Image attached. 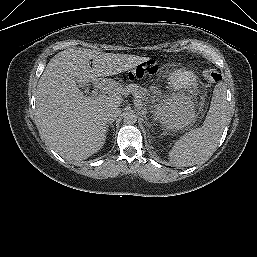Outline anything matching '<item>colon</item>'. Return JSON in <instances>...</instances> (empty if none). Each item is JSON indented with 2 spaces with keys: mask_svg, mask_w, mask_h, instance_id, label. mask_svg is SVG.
<instances>
[{
  "mask_svg": "<svg viewBox=\"0 0 257 257\" xmlns=\"http://www.w3.org/2000/svg\"><path fill=\"white\" fill-rule=\"evenodd\" d=\"M157 72V65L153 61L144 62L132 70L128 71L124 77L128 80L142 79ZM204 78L209 84L218 83L222 80V76L214 69H208L204 72Z\"/></svg>",
  "mask_w": 257,
  "mask_h": 257,
  "instance_id": "5ec220e1",
  "label": "colon"
}]
</instances>
